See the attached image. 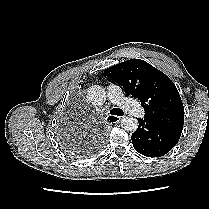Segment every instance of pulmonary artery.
Listing matches in <instances>:
<instances>
[{
    "mask_svg": "<svg viewBox=\"0 0 209 209\" xmlns=\"http://www.w3.org/2000/svg\"><path fill=\"white\" fill-rule=\"evenodd\" d=\"M107 93L109 100L119 108L123 109L125 112L136 117H141L143 115L142 107H140L131 99L124 97L123 92L119 86L110 85L107 88Z\"/></svg>",
    "mask_w": 209,
    "mask_h": 209,
    "instance_id": "e3ab8cb5",
    "label": "pulmonary artery"
}]
</instances>
